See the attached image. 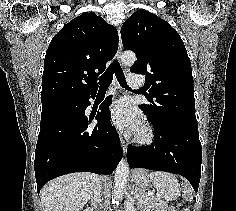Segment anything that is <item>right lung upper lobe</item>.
<instances>
[{"label": "right lung upper lobe", "instance_id": "cb5924a9", "mask_svg": "<svg viewBox=\"0 0 236 211\" xmlns=\"http://www.w3.org/2000/svg\"><path fill=\"white\" fill-rule=\"evenodd\" d=\"M117 48V30L93 12H85L66 24L46 51L42 105L95 94L98 76Z\"/></svg>", "mask_w": 236, "mask_h": 211}]
</instances>
